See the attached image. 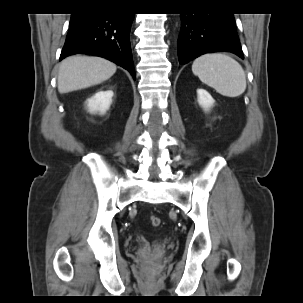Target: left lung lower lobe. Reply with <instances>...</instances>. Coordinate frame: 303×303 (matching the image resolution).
I'll use <instances>...</instances> for the list:
<instances>
[{
  "mask_svg": "<svg viewBox=\"0 0 303 303\" xmlns=\"http://www.w3.org/2000/svg\"><path fill=\"white\" fill-rule=\"evenodd\" d=\"M216 51L232 52L244 58L233 14H181L179 63L185 64L202 54Z\"/></svg>",
  "mask_w": 303,
  "mask_h": 303,
  "instance_id": "left-lung-lower-lobe-1",
  "label": "left lung lower lobe"
}]
</instances>
